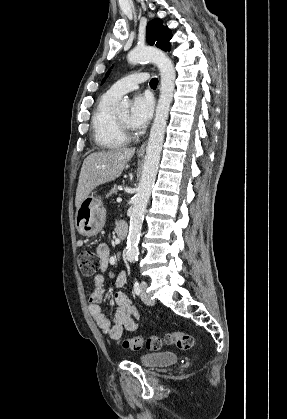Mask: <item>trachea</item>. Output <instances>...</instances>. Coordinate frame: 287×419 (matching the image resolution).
Listing matches in <instances>:
<instances>
[{
    "mask_svg": "<svg viewBox=\"0 0 287 419\" xmlns=\"http://www.w3.org/2000/svg\"><path fill=\"white\" fill-rule=\"evenodd\" d=\"M158 85V79L157 78H153L151 81H150V86L151 87H156Z\"/></svg>",
    "mask_w": 287,
    "mask_h": 419,
    "instance_id": "obj_1",
    "label": "trachea"
}]
</instances>
